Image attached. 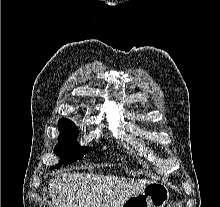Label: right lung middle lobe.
Listing matches in <instances>:
<instances>
[{
	"instance_id": "dd1d6c3e",
	"label": "right lung middle lobe",
	"mask_w": 220,
	"mask_h": 207,
	"mask_svg": "<svg viewBox=\"0 0 220 207\" xmlns=\"http://www.w3.org/2000/svg\"><path fill=\"white\" fill-rule=\"evenodd\" d=\"M60 135L58 137L59 144L55 147L54 152L61 157L60 162L64 165L77 161L84 154L90 151L89 147H81L77 144L78 131L75 130L73 122L66 118L59 120ZM59 165L51 167L58 168Z\"/></svg>"
}]
</instances>
